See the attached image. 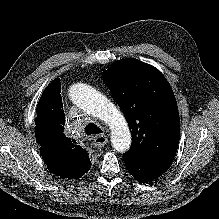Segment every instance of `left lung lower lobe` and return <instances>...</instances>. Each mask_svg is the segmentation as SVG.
I'll return each instance as SVG.
<instances>
[{
	"mask_svg": "<svg viewBox=\"0 0 219 219\" xmlns=\"http://www.w3.org/2000/svg\"><path fill=\"white\" fill-rule=\"evenodd\" d=\"M129 173L139 182L147 183L162 175L171 165L170 161L123 156Z\"/></svg>",
	"mask_w": 219,
	"mask_h": 219,
	"instance_id": "0a47b994",
	"label": "left lung lower lobe"
}]
</instances>
